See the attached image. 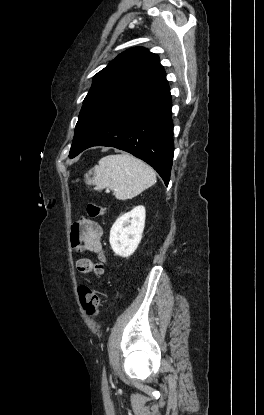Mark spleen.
Here are the masks:
<instances>
[{"label":"spleen","mask_w":264,"mask_h":415,"mask_svg":"<svg viewBox=\"0 0 264 415\" xmlns=\"http://www.w3.org/2000/svg\"><path fill=\"white\" fill-rule=\"evenodd\" d=\"M85 182L96 190L110 188L118 200L132 199L156 183L155 171L127 154L108 155L85 174Z\"/></svg>","instance_id":"1"}]
</instances>
